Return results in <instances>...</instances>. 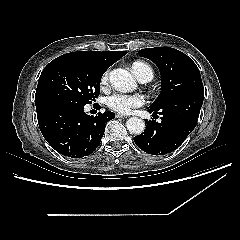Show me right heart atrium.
I'll use <instances>...</instances> for the list:
<instances>
[{
    "label": "right heart atrium",
    "instance_id": "1",
    "mask_svg": "<svg viewBox=\"0 0 240 240\" xmlns=\"http://www.w3.org/2000/svg\"><path fill=\"white\" fill-rule=\"evenodd\" d=\"M108 80H109V70H106L101 78V84L102 86H105L108 84Z\"/></svg>",
    "mask_w": 240,
    "mask_h": 240
}]
</instances>
